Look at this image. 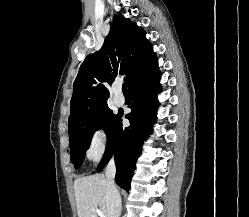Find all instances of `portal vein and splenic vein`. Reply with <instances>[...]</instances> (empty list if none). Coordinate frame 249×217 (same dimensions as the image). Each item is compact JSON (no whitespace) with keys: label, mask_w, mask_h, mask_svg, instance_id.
<instances>
[{"label":"portal vein and splenic vein","mask_w":249,"mask_h":217,"mask_svg":"<svg viewBox=\"0 0 249 217\" xmlns=\"http://www.w3.org/2000/svg\"><path fill=\"white\" fill-rule=\"evenodd\" d=\"M96 213L100 216V217H105V215L103 214V212L100 209H96Z\"/></svg>","instance_id":"1"}]
</instances>
